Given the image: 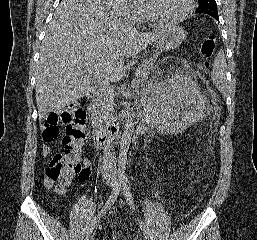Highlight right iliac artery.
<instances>
[{"mask_svg":"<svg viewBox=\"0 0 257 240\" xmlns=\"http://www.w3.org/2000/svg\"><path fill=\"white\" fill-rule=\"evenodd\" d=\"M119 182H116L106 204L104 207L97 213V215L94 217L93 221L91 222L87 232H86V239L88 240L89 236L93 232L94 228L97 226V224L100 222V219L105 216V214L110 210L114 202L116 201L118 194H119Z\"/></svg>","mask_w":257,"mask_h":240,"instance_id":"obj_1","label":"right iliac artery"}]
</instances>
